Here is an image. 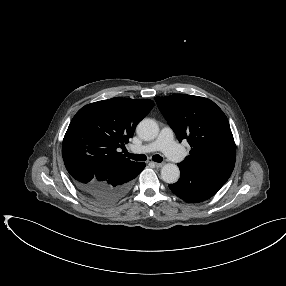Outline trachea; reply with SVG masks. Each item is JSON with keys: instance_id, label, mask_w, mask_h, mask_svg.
<instances>
[{"instance_id": "trachea-1", "label": "trachea", "mask_w": 286, "mask_h": 286, "mask_svg": "<svg viewBox=\"0 0 286 286\" xmlns=\"http://www.w3.org/2000/svg\"><path fill=\"white\" fill-rule=\"evenodd\" d=\"M125 156L129 157L135 161H145L147 159V157L144 154H131L129 152H127V150H124ZM152 160L155 162H162L163 158L160 155H154L152 157Z\"/></svg>"}]
</instances>
